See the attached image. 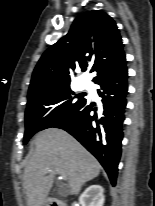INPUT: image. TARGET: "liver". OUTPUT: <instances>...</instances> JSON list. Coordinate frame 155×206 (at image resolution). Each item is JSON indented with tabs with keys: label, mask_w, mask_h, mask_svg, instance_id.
I'll return each instance as SVG.
<instances>
[{
	"label": "liver",
	"mask_w": 155,
	"mask_h": 206,
	"mask_svg": "<svg viewBox=\"0 0 155 206\" xmlns=\"http://www.w3.org/2000/svg\"><path fill=\"white\" fill-rule=\"evenodd\" d=\"M34 144V154L24 170L28 206L43 205L57 171L66 176L71 195L78 194L83 184L100 173L101 166L95 157L61 129L41 131L35 137Z\"/></svg>",
	"instance_id": "liver-1"
}]
</instances>
